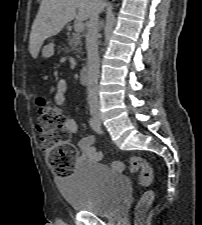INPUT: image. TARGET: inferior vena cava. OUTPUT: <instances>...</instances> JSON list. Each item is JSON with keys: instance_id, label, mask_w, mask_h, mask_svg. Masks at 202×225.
<instances>
[{"instance_id": "obj_1", "label": "inferior vena cava", "mask_w": 202, "mask_h": 225, "mask_svg": "<svg viewBox=\"0 0 202 225\" xmlns=\"http://www.w3.org/2000/svg\"><path fill=\"white\" fill-rule=\"evenodd\" d=\"M99 13L96 11L89 20L88 33L86 36V48L88 54V104L91 109L99 108L98 99V80H99V66L100 58L98 53V31H99Z\"/></svg>"}]
</instances>
